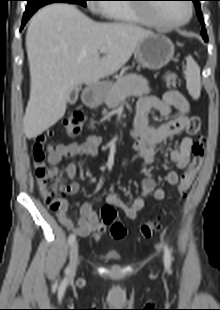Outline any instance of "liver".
Instances as JSON below:
<instances>
[{"mask_svg": "<svg viewBox=\"0 0 220 310\" xmlns=\"http://www.w3.org/2000/svg\"><path fill=\"white\" fill-rule=\"evenodd\" d=\"M153 34L132 24L95 22L70 4L39 10L26 35L30 68L26 137L35 138L56 124L75 87L97 84L119 71L138 44ZM101 48L107 50L103 57Z\"/></svg>", "mask_w": 220, "mask_h": 310, "instance_id": "1", "label": "liver"}]
</instances>
